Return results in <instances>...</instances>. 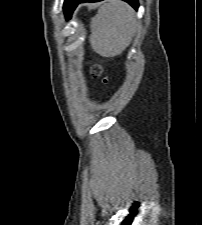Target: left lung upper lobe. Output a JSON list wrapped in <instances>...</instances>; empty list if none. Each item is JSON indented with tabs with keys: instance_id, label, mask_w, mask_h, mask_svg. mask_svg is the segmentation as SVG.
I'll return each mask as SVG.
<instances>
[{
	"instance_id": "left-lung-upper-lobe-1",
	"label": "left lung upper lobe",
	"mask_w": 202,
	"mask_h": 225,
	"mask_svg": "<svg viewBox=\"0 0 202 225\" xmlns=\"http://www.w3.org/2000/svg\"><path fill=\"white\" fill-rule=\"evenodd\" d=\"M77 0H64V14L66 15L67 18H69L74 11V4L76 3Z\"/></svg>"
}]
</instances>
